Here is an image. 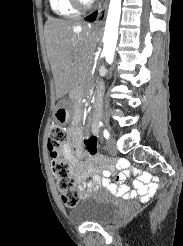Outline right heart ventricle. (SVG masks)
Returning a JSON list of instances; mask_svg holds the SVG:
<instances>
[{"label": "right heart ventricle", "instance_id": "obj_1", "mask_svg": "<svg viewBox=\"0 0 183 246\" xmlns=\"http://www.w3.org/2000/svg\"><path fill=\"white\" fill-rule=\"evenodd\" d=\"M52 11L61 17H73L79 10L73 5L71 0H49Z\"/></svg>", "mask_w": 183, "mask_h": 246}]
</instances>
